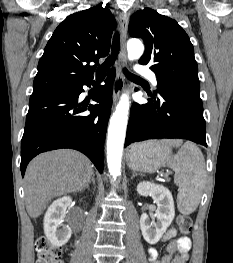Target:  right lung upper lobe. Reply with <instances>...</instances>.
<instances>
[{"instance_id":"cb5924a9","label":"right lung upper lobe","mask_w":233,"mask_h":263,"mask_svg":"<svg viewBox=\"0 0 233 263\" xmlns=\"http://www.w3.org/2000/svg\"><path fill=\"white\" fill-rule=\"evenodd\" d=\"M115 25L110 10L101 5L68 16L44 49L32 95L93 81L91 71L109 54Z\"/></svg>"}]
</instances>
